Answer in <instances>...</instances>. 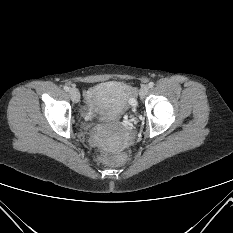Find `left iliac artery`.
I'll return each mask as SVG.
<instances>
[{"instance_id":"44dca946","label":"left iliac artery","mask_w":233,"mask_h":233,"mask_svg":"<svg viewBox=\"0 0 233 233\" xmlns=\"http://www.w3.org/2000/svg\"><path fill=\"white\" fill-rule=\"evenodd\" d=\"M148 86H149L150 88H152V87L154 86V83H153V82H150V83L148 84Z\"/></svg>"}]
</instances>
